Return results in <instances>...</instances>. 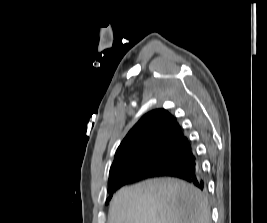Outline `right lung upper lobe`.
<instances>
[{
	"label": "right lung upper lobe",
	"instance_id": "1",
	"mask_svg": "<svg viewBox=\"0 0 267 223\" xmlns=\"http://www.w3.org/2000/svg\"><path fill=\"white\" fill-rule=\"evenodd\" d=\"M166 146H177L187 151L191 145L176 118L167 110L156 109L148 112L119 145L110 168L109 179L125 173V165L128 163L154 156Z\"/></svg>",
	"mask_w": 267,
	"mask_h": 223
}]
</instances>
